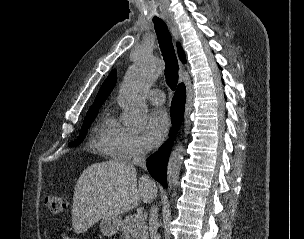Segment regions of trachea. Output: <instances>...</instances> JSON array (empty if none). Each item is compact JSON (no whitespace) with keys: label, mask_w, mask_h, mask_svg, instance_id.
Here are the masks:
<instances>
[{"label":"trachea","mask_w":304,"mask_h":239,"mask_svg":"<svg viewBox=\"0 0 304 239\" xmlns=\"http://www.w3.org/2000/svg\"><path fill=\"white\" fill-rule=\"evenodd\" d=\"M147 5L149 6L151 21L154 23L162 56L166 64V83L172 90H175L178 83V60L172 43L171 34L168 31L166 24L161 20V13L158 12L157 4L152 0H149Z\"/></svg>","instance_id":"1"}]
</instances>
